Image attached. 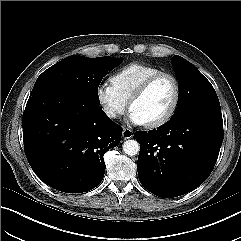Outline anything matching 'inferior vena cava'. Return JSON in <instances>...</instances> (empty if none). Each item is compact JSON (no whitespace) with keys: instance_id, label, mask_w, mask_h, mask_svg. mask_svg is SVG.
Wrapping results in <instances>:
<instances>
[{"instance_id":"inferior-vena-cava-1","label":"inferior vena cava","mask_w":241,"mask_h":241,"mask_svg":"<svg viewBox=\"0 0 241 241\" xmlns=\"http://www.w3.org/2000/svg\"><path fill=\"white\" fill-rule=\"evenodd\" d=\"M105 112L110 118H115L117 116V113L115 112V110L111 108L107 109Z\"/></svg>"}]
</instances>
